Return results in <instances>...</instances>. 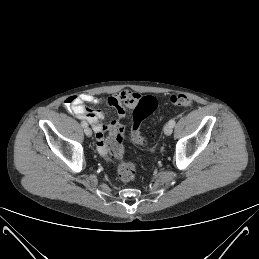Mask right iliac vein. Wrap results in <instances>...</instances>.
I'll return each mask as SVG.
<instances>
[{
  "instance_id": "right-iliac-vein-1",
  "label": "right iliac vein",
  "mask_w": 259,
  "mask_h": 259,
  "mask_svg": "<svg viewBox=\"0 0 259 259\" xmlns=\"http://www.w3.org/2000/svg\"><path fill=\"white\" fill-rule=\"evenodd\" d=\"M84 132H85L86 136H88V137L92 136V130L88 126L85 127Z\"/></svg>"
}]
</instances>
